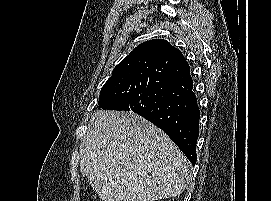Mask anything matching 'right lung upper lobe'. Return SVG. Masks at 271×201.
<instances>
[{"label":"right lung upper lobe","mask_w":271,"mask_h":201,"mask_svg":"<svg viewBox=\"0 0 271 201\" xmlns=\"http://www.w3.org/2000/svg\"><path fill=\"white\" fill-rule=\"evenodd\" d=\"M174 49L175 47L163 39L143 42L113 69L112 75L140 69L150 70L158 60Z\"/></svg>","instance_id":"right-lung-upper-lobe-1"}]
</instances>
